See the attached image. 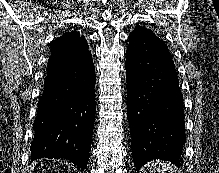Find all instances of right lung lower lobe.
I'll use <instances>...</instances> for the list:
<instances>
[{
    "mask_svg": "<svg viewBox=\"0 0 219 173\" xmlns=\"http://www.w3.org/2000/svg\"><path fill=\"white\" fill-rule=\"evenodd\" d=\"M48 61L34 121L31 160L68 159L86 168L95 121V69L91 53L66 65Z\"/></svg>",
    "mask_w": 219,
    "mask_h": 173,
    "instance_id": "1",
    "label": "right lung lower lobe"
}]
</instances>
